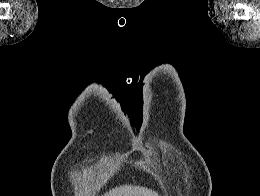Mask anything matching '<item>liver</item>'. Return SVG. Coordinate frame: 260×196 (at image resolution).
<instances>
[{
    "instance_id": "obj_1",
    "label": "liver",
    "mask_w": 260,
    "mask_h": 196,
    "mask_svg": "<svg viewBox=\"0 0 260 196\" xmlns=\"http://www.w3.org/2000/svg\"><path fill=\"white\" fill-rule=\"evenodd\" d=\"M104 196H158L154 190H148L143 186H119V188H113L106 192Z\"/></svg>"
}]
</instances>
